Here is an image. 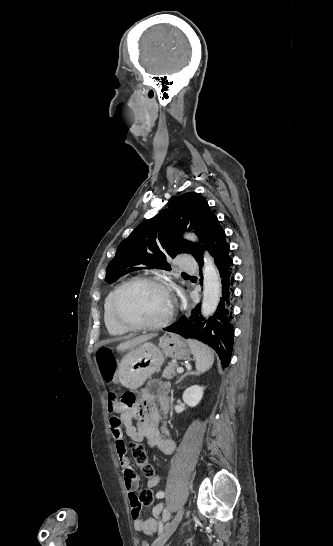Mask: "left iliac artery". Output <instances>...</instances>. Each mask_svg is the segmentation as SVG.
I'll return each mask as SVG.
<instances>
[{"instance_id": "obj_1", "label": "left iliac artery", "mask_w": 333, "mask_h": 546, "mask_svg": "<svg viewBox=\"0 0 333 546\" xmlns=\"http://www.w3.org/2000/svg\"><path fill=\"white\" fill-rule=\"evenodd\" d=\"M170 515L167 516V520L169 519ZM168 524V523H167ZM163 531V527H162V523L160 524V527H159V533H161Z\"/></svg>"}]
</instances>
